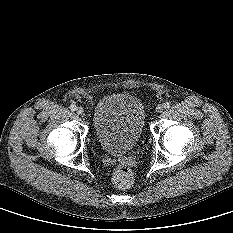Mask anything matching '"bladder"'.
Segmentation results:
<instances>
[{"mask_svg":"<svg viewBox=\"0 0 233 233\" xmlns=\"http://www.w3.org/2000/svg\"><path fill=\"white\" fill-rule=\"evenodd\" d=\"M145 108L128 93L102 97L93 110V129L100 146L111 154L130 151L140 140L145 126Z\"/></svg>","mask_w":233,"mask_h":233,"instance_id":"1","label":"bladder"}]
</instances>
